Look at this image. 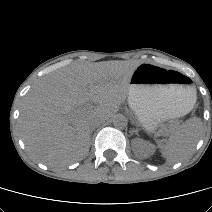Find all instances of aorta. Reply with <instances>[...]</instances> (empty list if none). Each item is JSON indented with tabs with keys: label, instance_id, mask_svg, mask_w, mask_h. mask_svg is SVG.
Masks as SVG:
<instances>
[{
	"label": "aorta",
	"instance_id": "aorta-1",
	"mask_svg": "<svg viewBox=\"0 0 212 212\" xmlns=\"http://www.w3.org/2000/svg\"><path fill=\"white\" fill-rule=\"evenodd\" d=\"M112 122H113L114 127L124 128L127 125V118L122 114H117L114 116Z\"/></svg>",
	"mask_w": 212,
	"mask_h": 212
}]
</instances>
